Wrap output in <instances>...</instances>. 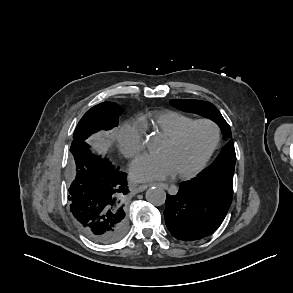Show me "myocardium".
I'll return each instance as SVG.
<instances>
[{"mask_svg":"<svg viewBox=\"0 0 293 293\" xmlns=\"http://www.w3.org/2000/svg\"><path fill=\"white\" fill-rule=\"evenodd\" d=\"M198 124H206L212 127V129L214 130L213 142L211 146L209 147V149L207 150V152L205 153V155L191 170L184 173H176V177H178L179 179H190L194 177L195 175H197L206 166V164L208 163V161L210 160V158L212 157V155L214 154V152L216 151L220 143V140H221L220 127L214 121L210 119L193 120L189 122L188 124L184 125L183 127H181L174 134L167 136L165 140L170 143H175L179 141L189 129H191L193 126Z\"/></svg>","mask_w":293,"mask_h":293,"instance_id":"1","label":"myocardium"}]
</instances>
